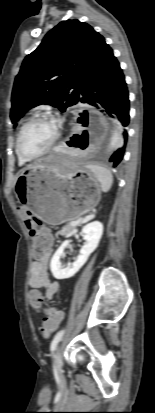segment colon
Segmentation results:
<instances>
[{"instance_id": "obj_1", "label": "colon", "mask_w": 155, "mask_h": 413, "mask_svg": "<svg viewBox=\"0 0 155 413\" xmlns=\"http://www.w3.org/2000/svg\"><path fill=\"white\" fill-rule=\"evenodd\" d=\"M30 232L35 239L33 256L38 260H42L47 249V239L45 236L39 234V231ZM30 302L33 306H39L40 304H42V298L38 294L32 293L30 295ZM62 318L63 314L60 310L46 311L41 327L42 334L44 336H49L50 334L54 333L57 330L60 322L62 321Z\"/></svg>"}]
</instances>
